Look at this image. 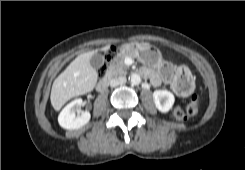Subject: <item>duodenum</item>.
I'll return each instance as SVG.
<instances>
[{
	"instance_id": "1",
	"label": "duodenum",
	"mask_w": 245,
	"mask_h": 170,
	"mask_svg": "<svg viewBox=\"0 0 245 170\" xmlns=\"http://www.w3.org/2000/svg\"><path fill=\"white\" fill-rule=\"evenodd\" d=\"M122 47L123 46H120L118 48H122ZM108 85H109V77L105 76L99 81V83L97 84L96 89H97L98 92H103L108 87Z\"/></svg>"
}]
</instances>
